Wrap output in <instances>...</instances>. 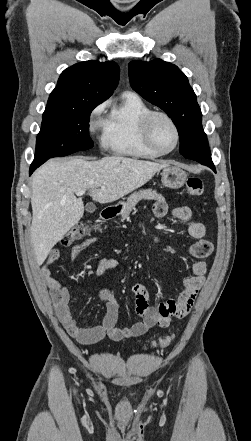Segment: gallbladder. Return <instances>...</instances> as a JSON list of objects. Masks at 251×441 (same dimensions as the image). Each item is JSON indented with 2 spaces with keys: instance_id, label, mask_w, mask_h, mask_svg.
Listing matches in <instances>:
<instances>
[{
  "instance_id": "gallbladder-1",
  "label": "gallbladder",
  "mask_w": 251,
  "mask_h": 441,
  "mask_svg": "<svg viewBox=\"0 0 251 441\" xmlns=\"http://www.w3.org/2000/svg\"><path fill=\"white\" fill-rule=\"evenodd\" d=\"M96 209V206L93 203H88L86 205V211L89 213H93Z\"/></svg>"
}]
</instances>
